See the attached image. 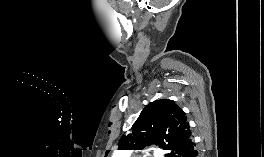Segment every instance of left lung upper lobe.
<instances>
[{"label": "left lung upper lobe", "instance_id": "1", "mask_svg": "<svg viewBox=\"0 0 264 157\" xmlns=\"http://www.w3.org/2000/svg\"><path fill=\"white\" fill-rule=\"evenodd\" d=\"M132 130V134L121 137L119 149L138 150L155 144L170 151L166 157H177L181 146L191 138L185 112L169 99L156 100L147 105Z\"/></svg>", "mask_w": 264, "mask_h": 157}]
</instances>
